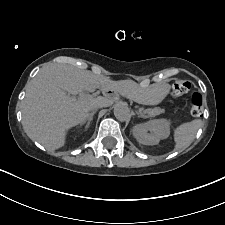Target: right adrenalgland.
Here are the masks:
<instances>
[{"label":"right adrenal gland","mask_w":225,"mask_h":225,"mask_svg":"<svg viewBox=\"0 0 225 225\" xmlns=\"http://www.w3.org/2000/svg\"><path fill=\"white\" fill-rule=\"evenodd\" d=\"M96 112H97V109H96V110H93V111L89 114L87 120L84 121V122L82 123V124H85V123H86L85 130H87V129L89 128V126H90V124H91V121L93 120V116H94V114H95Z\"/></svg>","instance_id":"right-adrenal-gland-1"}]
</instances>
